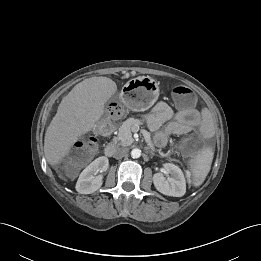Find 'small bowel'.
Instances as JSON below:
<instances>
[{
    "mask_svg": "<svg viewBox=\"0 0 261 261\" xmlns=\"http://www.w3.org/2000/svg\"><path fill=\"white\" fill-rule=\"evenodd\" d=\"M145 122L150 130L157 131L154 141L159 147L167 144L169 136L186 134L193 130H197L204 138L213 135V122L208 112H200L195 108L175 112L163 101L158 102L145 116ZM166 123L165 130H160Z\"/></svg>",
    "mask_w": 261,
    "mask_h": 261,
    "instance_id": "1",
    "label": "small bowel"
}]
</instances>
